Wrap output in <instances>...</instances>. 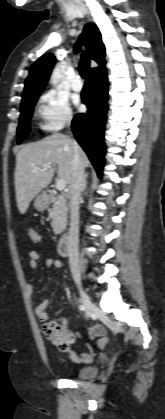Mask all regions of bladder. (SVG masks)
I'll return each mask as SVG.
<instances>
[{
    "instance_id": "31cf9c89",
    "label": "bladder",
    "mask_w": 165,
    "mask_h": 419,
    "mask_svg": "<svg viewBox=\"0 0 165 419\" xmlns=\"http://www.w3.org/2000/svg\"><path fill=\"white\" fill-rule=\"evenodd\" d=\"M98 373V368L95 366H88L77 370L74 377L77 379H91Z\"/></svg>"
}]
</instances>
